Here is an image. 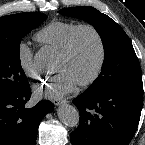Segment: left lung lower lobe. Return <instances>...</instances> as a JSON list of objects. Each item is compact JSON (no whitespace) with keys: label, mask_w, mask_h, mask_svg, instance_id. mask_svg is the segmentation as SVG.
Segmentation results:
<instances>
[{"label":"left lung lower lobe","mask_w":145,"mask_h":145,"mask_svg":"<svg viewBox=\"0 0 145 145\" xmlns=\"http://www.w3.org/2000/svg\"><path fill=\"white\" fill-rule=\"evenodd\" d=\"M73 103L80 119L78 128L71 132L72 145H128L140 120L143 84L85 91Z\"/></svg>","instance_id":"0a47b994"}]
</instances>
